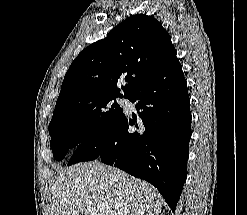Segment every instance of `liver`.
Segmentation results:
<instances>
[{"label": "liver", "mask_w": 247, "mask_h": 215, "mask_svg": "<svg viewBox=\"0 0 247 215\" xmlns=\"http://www.w3.org/2000/svg\"><path fill=\"white\" fill-rule=\"evenodd\" d=\"M162 199L146 182L98 161L57 175L52 215H158Z\"/></svg>", "instance_id": "6515ba94"}]
</instances>
